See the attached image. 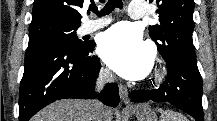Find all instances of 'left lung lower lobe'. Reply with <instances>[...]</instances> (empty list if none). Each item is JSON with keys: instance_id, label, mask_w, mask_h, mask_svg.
Masks as SVG:
<instances>
[{"instance_id": "0a47b994", "label": "left lung lower lobe", "mask_w": 217, "mask_h": 121, "mask_svg": "<svg viewBox=\"0 0 217 121\" xmlns=\"http://www.w3.org/2000/svg\"><path fill=\"white\" fill-rule=\"evenodd\" d=\"M167 80L158 89L134 90L132 102H167L191 115L196 121H204L202 108V78L196 60L174 56L165 60Z\"/></svg>"}]
</instances>
